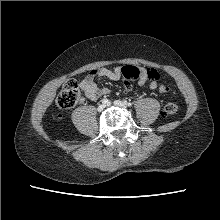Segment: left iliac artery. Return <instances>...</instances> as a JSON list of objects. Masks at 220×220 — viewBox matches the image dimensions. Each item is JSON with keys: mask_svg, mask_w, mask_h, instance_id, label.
Here are the masks:
<instances>
[{"mask_svg": "<svg viewBox=\"0 0 220 220\" xmlns=\"http://www.w3.org/2000/svg\"><path fill=\"white\" fill-rule=\"evenodd\" d=\"M126 105L131 106L132 104L130 102L125 101Z\"/></svg>", "mask_w": 220, "mask_h": 220, "instance_id": "left-iliac-artery-1", "label": "left iliac artery"}]
</instances>
